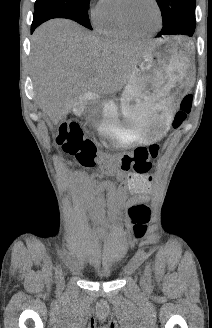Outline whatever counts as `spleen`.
Wrapping results in <instances>:
<instances>
[{
	"label": "spleen",
	"instance_id": "obj_1",
	"mask_svg": "<svg viewBox=\"0 0 212 328\" xmlns=\"http://www.w3.org/2000/svg\"><path fill=\"white\" fill-rule=\"evenodd\" d=\"M188 47H190V44H186Z\"/></svg>",
	"mask_w": 212,
	"mask_h": 328
}]
</instances>
